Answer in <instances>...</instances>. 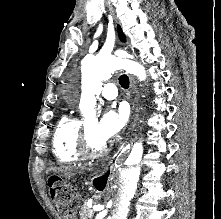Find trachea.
<instances>
[{
  "mask_svg": "<svg viewBox=\"0 0 221 219\" xmlns=\"http://www.w3.org/2000/svg\"><path fill=\"white\" fill-rule=\"evenodd\" d=\"M119 84L124 88L127 89L129 87V78L127 75H121L119 77Z\"/></svg>",
  "mask_w": 221,
  "mask_h": 219,
  "instance_id": "3493384b",
  "label": "trachea"
}]
</instances>
